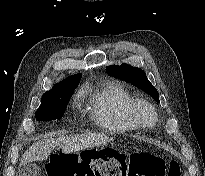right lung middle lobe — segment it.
<instances>
[{"mask_svg":"<svg viewBox=\"0 0 205 176\" xmlns=\"http://www.w3.org/2000/svg\"><path fill=\"white\" fill-rule=\"evenodd\" d=\"M74 90H63L42 96L41 105L35 116L38 121L61 119Z\"/></svg>","mask_w":205,"mask_h":176,"instance_id":"1","label":"right lung middle lobe"}]
</instances>
